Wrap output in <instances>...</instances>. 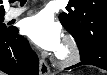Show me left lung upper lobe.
Masks as SVG:
<instances>
[{"mask_svg":"<svg viewBox=\"0 0 107 75\" xmlns=\"http://www.w3.org/2000/svg\"><path fill=\"white\" fill-rule=\"evenodd\" d=\"M66 9L59 20L75 38L81 58H86L94 50L92 34L104 28L107 41V0H69Z\"/></svg>","mask_w":107,"mask_h":75,"instance_id":"obj_1","label":"left lung upper lobe"}]
</instances>
